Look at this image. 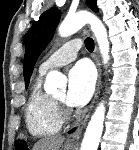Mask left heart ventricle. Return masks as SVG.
<instances>
[{"mask_svg":"<svg viewBox=\"0 0 139 150\" xmlns=\"http://www.w3.org/2000/svg\"><path fill=\"white\" fill-rule=\"evenodd\" d=\"M55 98L65 101L66 100V92L62 91L55 95Z\"/></svg>","mask_w":139,"mask_h":150,"instance_id":"b2bd125f","label":"left heart ventricle"}]
</instances>
